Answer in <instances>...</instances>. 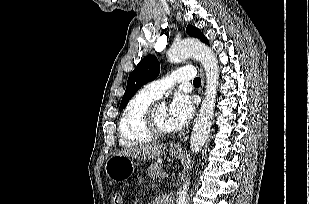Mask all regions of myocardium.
<instances>
[{"instance_id": "myocardium-1", "label": "myocardium", "mask_w": 309, "mask_h": 204, "mask_svg": "<svg viewBox=\"0 0 309 204\" xmlns=\"http://www.w3.org/2000/svg\"><path fill=\"white\" fill-rule=\"evenodd\" d=\"M163 104L161 102H153L148 106L143 114V126L152 138H163L172 135L173 131H167L160 128L157 123V109Z\"/></svg>"}]
</instances>
